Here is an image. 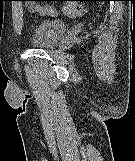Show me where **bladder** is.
<instances>
[{
  "label": "bladder",
  "mask_w": 135,
  "mask_h": 161,
  "mask_svg": "<svg viewBox=\"0 0 135 161\" xmlns=\"http://www.w3.org/2000/svg\"><path fill=\"white\" fill-rule=\"evenodd\" d=\"M66 31L60 19H43L32 30L29 41L33 46L48 47L55 45Z\"/></svg>",
  "instance_id": "1"
}]
</instances>
